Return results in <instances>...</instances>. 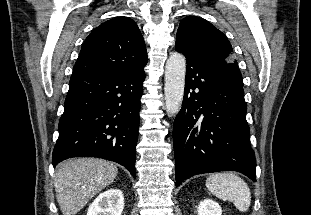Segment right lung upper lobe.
I'll return each instance as SVG.
<instances>
[{"mask_svg":"<svg viewBox=\"0 0 311 215\" xmlns=\"http://www.w3.org/2000/svg\"><path fill=\"white\" fill-rule=\"evenodd\" d=\"M148 61L144 39L129 17L110 19L96 27L82 44L73 73L131 74Z\"/></svg>","mask_w":311,"mask_h":215,"instance_id":"right-lung-upper-lobe-1","label":"right lung upper lobe"}]
</instances>
